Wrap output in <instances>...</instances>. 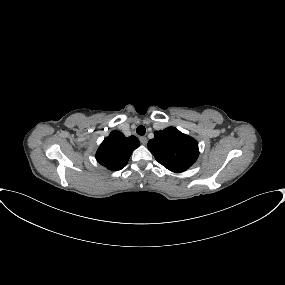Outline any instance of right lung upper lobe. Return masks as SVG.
<instances>
[{"label": "right lung upper lobe", "instance_id": "1", "mask_svg": "<svg viewBox=\"0 0 285 285\" xmlns=\"http://www.w3.org/2000/svg\"><path fill=\"white\" fill-rule=\"evenodd\" d=\"M139 145L135 136L125 137L121 132L112 131L98 148L96 159L109 170H121Z\"/></svg>", "mask_w": 285, "mask_h": 285}]
</instances>
